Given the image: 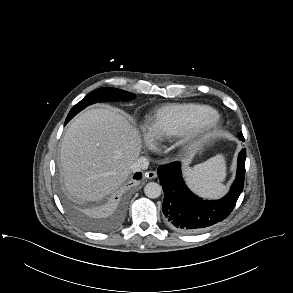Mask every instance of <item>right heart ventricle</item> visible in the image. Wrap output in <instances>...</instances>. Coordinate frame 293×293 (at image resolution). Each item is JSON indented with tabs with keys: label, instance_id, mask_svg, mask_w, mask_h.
<instances>
[{
	"label": "right heart ventricle",
	"instance_id": "e07e8e85",
	"mask_svg": "<svg viewBox=\"0 0 293 293\" xmlns=\"http://www.w3.org/2000/svg\"><path fill=\"white\" fill-rule=\"evenodd\" d=\"M215 111L198 103H172L158 108L149 118L146 129L155 141L170 140L183 135L202 115Z\"/></svg>",
	"mask_w": 293,
	"mask_h": 293
}]
</instances>
